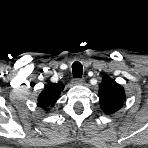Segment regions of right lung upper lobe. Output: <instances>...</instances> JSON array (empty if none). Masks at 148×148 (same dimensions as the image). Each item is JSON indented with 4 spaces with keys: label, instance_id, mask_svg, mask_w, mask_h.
Returning a JSON list of instances; mask_svg holds the SVG:
<instances>
[{
    "label": "right lung upper lobe",
    "instance_id": "1",
    "mask_svg": "<svg viewBox=\"0 0 148 148\" xmlns=\"http://www.w3.org/2000/svg\"><path fill=\"white\" fill-rule=\"evenodd\" d=\"M64 88L62 83H48L38 97V106L49 111L54 106Z\"/></svg>",
    "mask_w": 148,
    "mask_h": 148
}]
</instances>
